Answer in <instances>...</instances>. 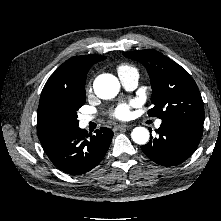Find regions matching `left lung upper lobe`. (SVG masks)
Instances as JSON below:
<instances>
[{"instance_id":"left-lung-upper-lobe-1","label":"left lung upper lobe","mask_w":221,"mask_h":221,"mask_svg":"<svg viewBox=\"0 0 221 221\" xmlns=\"http://www.w3.org/2000/svg\"><path fill=\"white\" fill-rule=\"evenodd\" d=\"M123 55L142 63L150 76L153 108L149 116L160 119L204 121L201 94L193 78L177 63L151 49L125 52Z\"/></svg>"}]
</instances>
